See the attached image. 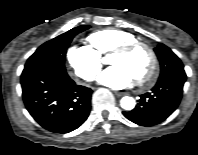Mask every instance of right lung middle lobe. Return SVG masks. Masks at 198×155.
Returning a JSON list of instances; mask_svg holds the SVG:
<instances>
[{
  "instance_id": "right-lung-middle-lobe-1",
  "label": "right lung middle lobe",
  "mask_w": 198,
  "mask_h": 155,
  "mask_svg": "<svg viewBox=\"0 0 198 155\" xmlns=\"http://www.w3.org/2000/svg\"><path fill=\"white\" fill-rule=\"evenodd\" d=\"M90 26L82 25L59 35L58 37L41 45L36 52L29 57L25 64L27 67H48L66 73L64 60L67 48L73 37L88 29Z\"/></svg>"
}]
</instances>
